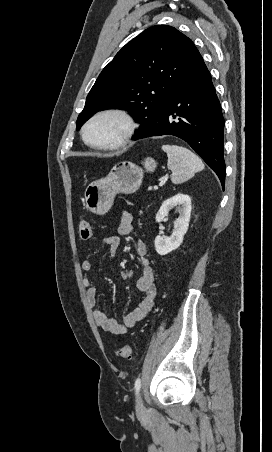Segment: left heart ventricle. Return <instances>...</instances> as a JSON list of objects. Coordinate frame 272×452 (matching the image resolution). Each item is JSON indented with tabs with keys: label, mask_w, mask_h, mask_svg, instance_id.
I'll return each mask as SVG.
<instances>
[{
	"label": "left heart ventricle",
	"mask_w": 272,
	"mask_h": 452,
	"mask_svg": "<svg viewBox=\"0 0 272 452\" xmlns=\"http://www.w3.org/2000/svg\"><path fill=\"white\" fill-rule=\"evenodd\" d=\"M123 131L122 122L113 117L95 121L87 130L86 136L93 143H110L115 141Z\"/></svg>",
	"instance_id": "b2bd125f"
}]
</instances>
